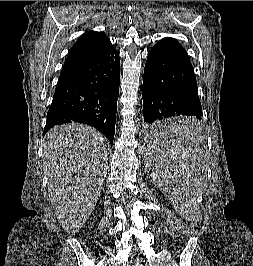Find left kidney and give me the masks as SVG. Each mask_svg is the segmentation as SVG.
Segmentation results:
<instances>
[{"instance_id": "5707ae66", "label": "left kidney", "mask_w": 253, "mask_h": 266, "mask_svg": "<svg viewBox=\"0 0 253 266\" xmlns=\"http://www.w3.org/2000/svg\"><path fill=\"white\" fill-rule=\"evenodd\" d=\"M184 206H188L185 202L180 203V205H178L179 209H184Z\"/></svg>"}]
</instances>
